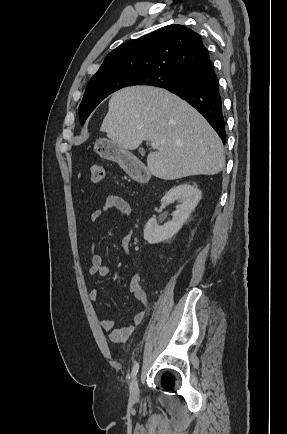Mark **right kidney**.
<instances>
[{
  "label": "right kidney",
  "mask_w": 287,
  "mask_h": 434,
  "mask_svg": "<svg viewBox=\"0 0 287 434\" xmlns=\"http://www.w3.org/2000/svg\"><path fill=\"white\" fill-rule=\"evenodd\" d=\"M201 196L202 193L197 186L189 183L171 188L163 196L161 202L171 204L177 200L180 205L173 212L172 220L162 226H159L155 219H149L144 228V239L150 244H156L172 238L182 228Z\"/></svg>",
  "instance_id": "right-kidney-1"
}]
</instances>
